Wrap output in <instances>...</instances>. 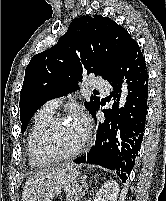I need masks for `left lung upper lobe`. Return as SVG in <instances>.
<instances>
[{"label":"left lung upper lobe","instance_id":"1","mask_svg":"<svg viewBox=\"0 0 166 201\" xmlns=\"http://www.w3.org/2000/svg\"><path fill=\"white\" fill-rule=\"evenodd\" d=\"M135 43L127 30L110 18L84 15L74 19L57 44L33 56L26 67L19 102L21 131L45 102L78 89L86 73L108 80ZM84 105L93 116L100 98L91 96Z\"/></svg>","mask_w":166,"mask_h":201}]
</instances>
